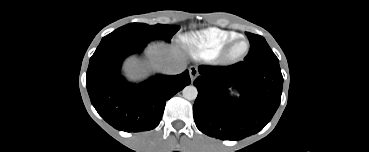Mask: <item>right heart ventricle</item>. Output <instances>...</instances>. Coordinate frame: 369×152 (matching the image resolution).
I'll return each instance as SVG.
<instances>
[{
	"label": "right heart ventricle",
	"instance_id": "e07e8e85",
	"mask_svg": "<svg viewBox=\"0 0 369 152\" xmlns=\"http://www.w3.org/2000/svg\"><path fill=\"white\" fill-rule=\"evenodd\" d=\"M238 36L239 34L233 31L207 28L190 34L189 41L197 55L210 59L221 53L226 45Z\"/></svg>",
	"mask_w": 369,
	"mask_h": 152
}]
</instances>
